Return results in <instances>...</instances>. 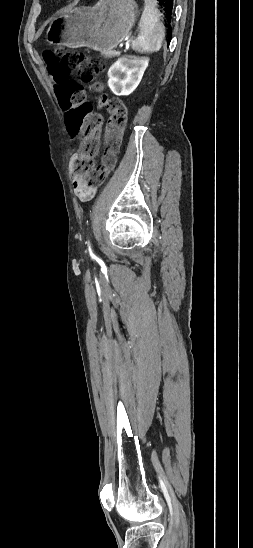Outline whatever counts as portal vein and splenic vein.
I'll return each mask as SVG.
<instances>
[{"instance_id":"portal-vein-and-splenic-vein-1","label":"portal vein and splenic vein","mask_w":253,"mask_h":548,"mask_svg":"<svg viewBox=\"0 0 253 548\" xmlns=\"http://www.w3.org/2000/svg\"><path fill=\"white\" fill-rule=\"evenodd\" d=\"M131 40H132V38H131ZM115 54H116V55L120 54V51L117 50V51L115 52Z\"/></svg>"}]
</instances>
